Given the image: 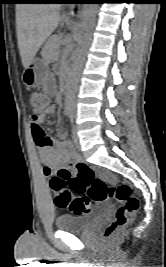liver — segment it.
<instances>
[{"mask_svg": "<svg viewBox=\"0 0 166 267\" xmlns=\"http://www.w3.org/2000/svg\"><path fill=\"white\" fill-rule=\"evenodd\" d=\"M59 11L60 5L57 4L16 5L17 40L24 68L32 63L40 47L58 26L61 21Z\"/></svg>", "mask_w": 166, "mask_h": 267, "instance_id": "1", "label": "liver"}]
</instances>
